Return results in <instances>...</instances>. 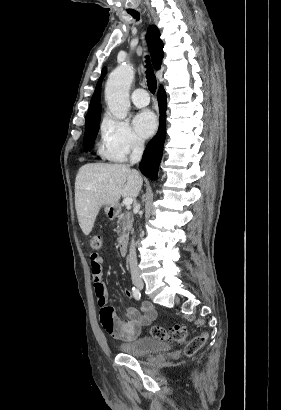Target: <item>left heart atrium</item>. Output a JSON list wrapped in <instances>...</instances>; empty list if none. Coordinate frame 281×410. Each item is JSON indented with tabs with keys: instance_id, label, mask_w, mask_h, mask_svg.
Masks as SVG:
<instances>
[{
	"instance_id": "1",
	"label": "left heart atrium",
	"mask_w": 281,
	"mask_h": 410,
	"mask_svg": "<svg viewBox=\"0 0 281 410\" xmlns=\"http://www.w3.org/2000/svg\"><path fill=\"white\" fill-rule=\"evenodd\" d=\"M133 126L141 137L147 138L151 136L157 128L156 116L150 110L141 111L135 116Z\"/></svg>"
}]
</instances>
